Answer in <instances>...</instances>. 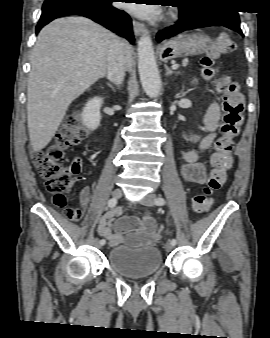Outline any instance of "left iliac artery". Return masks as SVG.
<instances>
[{"label": "left iliac artery", "instance_id": "obj_1", "mask_svg": "<svg viewBox=\"0 0 270 338\" xmlns=\"http://www.w3.org/2000/svg\"><path fill=\"white\" fill-rule=\"evenodd\" d=\"M155 204L158 205V206H162L165 204V199L162 198V197H158L155 199ZM170 243L173 244V245H176V239H172L170 240Z\"/></svg>", "mask_w": 270, "mask_h": 338}]
</instances>
